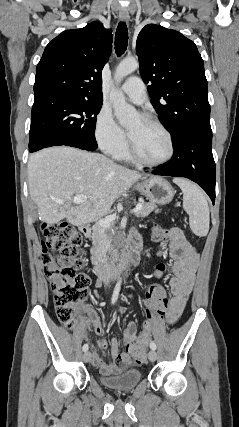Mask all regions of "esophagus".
I'll return each instance as SVG.
<instances>
[{
  "label": "esophagus",
  "instance_id": "34e87169",
  "mask_svg": "<svg viewBox=\"0 0 239 427\" xmlns=\"http://www.w3.org/2000/svg\"><path fill=\"white\" fill-rule=\"evenodd\" d=\"M119 19L122 22H128V20H129V14L127 12H120Z\"/></svg>",
  "mask_w": 239,
  "mask_h": 427
}]
</instances>
